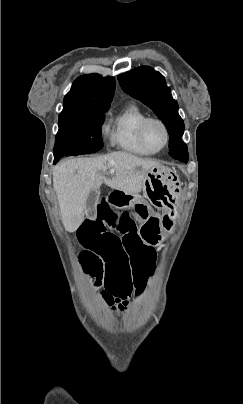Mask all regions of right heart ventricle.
<instances>
[{
	"instance_id": "e07e8e85",
	"label": "right heart ventricle",
	"mask_w": 243,
	"mask_h": 404,
	"mask_svg": "<svg viewBox=\"0 0 243 404\" xmlns=\"http://www.w3.org/2000/svg\"><path fill=\"white\" fill-rule=\"evenodd\" d=\"M144 110L136 103H130L110 119L113 146L134 156H154L155 152L144 146L138 136V126L146 117Z\"/></svg>"
}]
</instances>
